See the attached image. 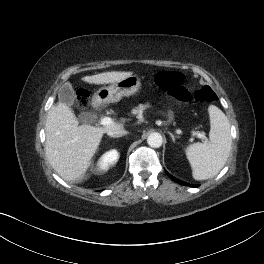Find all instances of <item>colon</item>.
Wrapping results in <instances>:
<instances>
[{"instance_id": "colon-1", "label": "colon", "mask_w": 264, "mask_h": 264, "mask_svg": "<svg viewBox=\"0 0 264 264\" xmlns=\"http://www.w3.org/2000/svg\"><path fill=\"white\" fill-rule=\"evenodd\" d=\"M183 82V74L175 71H163L155 77L156 85L178 101L208 103L215 100L216 95L210 87L201 86L194 93H191L184 87ZM88 96L86 90L77 89L75 92L76 108L83 109L88 101Z\"/></svg>"}]
</instances>
